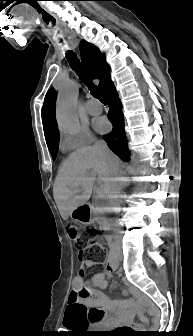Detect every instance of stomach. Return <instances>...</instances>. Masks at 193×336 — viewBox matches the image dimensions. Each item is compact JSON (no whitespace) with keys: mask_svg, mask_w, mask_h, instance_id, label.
<instances>
[{"mask_svg":"<svg viewBox=\"0 0 193 336\" xmlns=\"http://www.w3.org/2000/svg\"><path fill=\"white\" fill-rule=\"evenodd\" d=\"M71 218L83 225H89L94 222V215L92 209L88 205H81L75 208L71 214Z\"/></svg>","mask_w":193,"mask_h":336,"instance_id":"stomach-1","label":"stomach"}]
</instances>
